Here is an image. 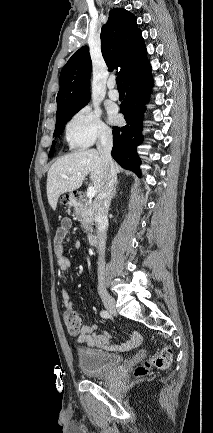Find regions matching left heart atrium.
<instances>
[{
	"label": "left heart atrium",
	"mask_w": 213,
	"mask_h": 433,
	"mask_svg": "<svg viewBox=\"0 0 213 433\" xmlns=\"http://www.w3.org/2000/svg\"><path fill=\"white\" fill-rule=\"evenodd\" d=\"M117 120H118V118H117L116 115H112V116H111V121H112V122H117Z\"/></svg>",
	"instance_id": "obj_1"
}]
</instances>
